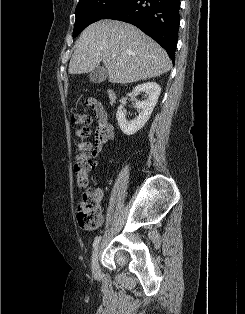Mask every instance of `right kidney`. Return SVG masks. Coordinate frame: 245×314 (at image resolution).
Masks as SVG:
<instances>
[{
	"instance_id": "right-kidney-1",
	"label": "right kidney",
	"mask_w": 245,
	"mask_h": 314,
	"mask_svg": "<svg viewBox=\"0 0 245 314\" xmlns=\"http://www.w3.org/2000/svg\"><path fill=\"white\" fill-rule=\"evenodd\" d=\"M141 92L145 93L146 99L144 101H136V107L139 109V115L135 119L131 121L126 119L123 105L118 107L116 113V118L121 131L128 136L135 134L137 131L143 128V126L149 120L158 101L161 88L155 82L143 83L141 85H137L133 91L128 94V96L135 99V97Z\"/></svg>"
}]
</instances>
